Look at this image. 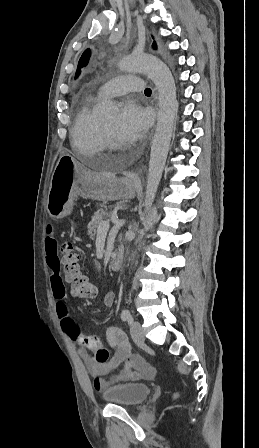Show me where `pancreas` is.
Returning <instances> with one entry per match:
<instances>
[{
	"instance_id": "obj_1",
	"label": "pancreas",
	"mask_w": 259,
	"mask_h": 448,
	"mask_svg": "<svg viewBox=\"0 0 259 448\" xmlns=\"http://www.w3.org/2000/svg\"><path fill=\"white\" fill-rule=\"evenodd\" d=\"M111 214L106 212V210H98L95 212L94 216H91L92 220L89 222L88 228V236H90L91 240H93V236L97 234V228H99L100 222L106 220V218H110Z\"/></svg>"
}]
</instances>
